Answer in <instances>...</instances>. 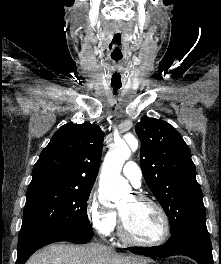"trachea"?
Returning a JSON list of instances; mask_svg holds the SVG:
<instances>
[{
    "mask_svg": "<svg viewBox=\"0 0 221 264\" xmlns=\"http://www.w3.org/2000/svg\"><path fill=\"white\" fill-rule=\"evenodd\" d=\"M111 87L113 88L114 92H116L121 88V85H111Z\"/></svg>",
    "mask_w": 221,
    "mask_h": 264,
    "instance_id": "3493384b",
    "label": "trachea"
}]
</instances>
